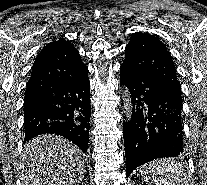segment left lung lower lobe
I'll list each match as a JSON object with an SVG mask.
<instances>
[{
	"label": "left lung lower lobe",
	"instance_id": "obj_1",
	"mask_svg": "<svg viewBox=\"0 0 207 185\" xmlns=\"http://www.w3.org/2000/svg\"><path fill=\"white\" fill-rule=\"evenodd\" d=\"M120 85L129 89L133 109L124 123L126 176L154 159L184 152L182 99L157 80L120 66Z\"/></svg>",
	"mask_w": 207,
	"mask_h": 185
}]
</instances>
